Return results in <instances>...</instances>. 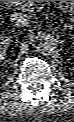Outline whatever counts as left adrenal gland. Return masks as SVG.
I'll list each match as a JSON object with an SVG mask.
<instances>
[{
	"label": "left adrenal gland",
	"instance_id": "a2214340",
	"mask_svg": "<svg viewBox=\"0 0 74 122\" xmlns=\"http://www.w3.org/2000/svg\"><path fill=\"white\" fill-rule=\"evenodd\" d=\"M68 27V25L67 24H64V29H66Z\"/></svg>",
	"mask_w": 74,
	"mask_h": 122
}]
</instances>
